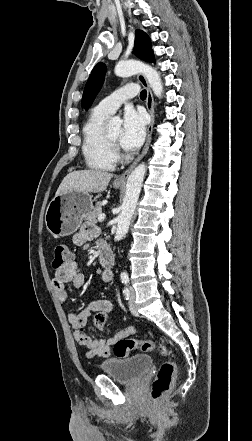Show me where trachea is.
<instances>
[{
  "mask_svg": "<svg viewBox=\"0 0 252 441\" xmlns=\"http://www.w3.org/2000/svg\"><path fill=\"white\" fill-rule=\"evenodd\" d=\"M146 96H147V92H146V90L141 91V93H140V98L145 99Z\"/></svg>",
  "mask_w": 252,
  "mask_h": 441,
  "instance_id": "obj_1",
  "label": "trachea"
}]
</instances>
